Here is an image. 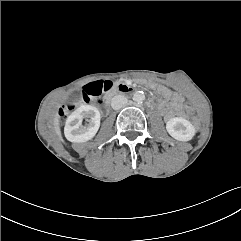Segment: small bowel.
<instances>
[{
    "label": "small bowel",
    "instance_id": "c3829d8e",
    "mask_svg": "<svg viewBox=\"0 0 241 241\" xmlns=\"http://www.w3.org/2000/svg\"><path fill=\"white\" fill-rule=\"evenodd\" d=\"M166 95L170 98V102L164 106V112L166 116H171L180 110L182 99L178 95H169L168 93Z\"/></svg>",
    "mask_w": 241,
    "mask_h": 241
}]
</instances>
